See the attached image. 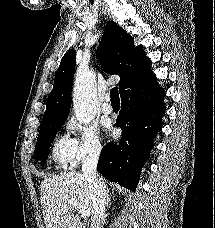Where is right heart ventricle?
<instances>
[{
  "label": "right heart ventricle",
  "mask_w": 215,
  "mask_h": 228,
  "mask_svg": "<svg viewBox=\"0 0 215 228\" xmlns=\"http://www.w3.org/2000/svg\"><path fill=\"white\" fill-rule=\"evenodd\" d=\"M74 144L68 136L60 137L53 146V160L61 168L72 166L73 162Z\"/></svg>",
  "instance_id": "obj_1"
}]
</instances>
